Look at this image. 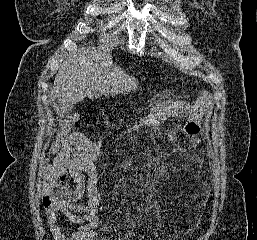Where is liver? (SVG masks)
Listing matches in <instances>:
<instances>
[{
	"label": "liver",
	"mask_w": 257,
	"mask_h": 240,
	"mask_svg": "<svg viewBox=\"0 0 257 240\" xmlns=\"http://www.w3.org/2000/svg\"><path fill=\"white\" fill-rule=\"evenodd\" d=\"M136 86L137 82L132 76L113 64L108 50L88 55L80 49L70 54L60 66L49 98L54 102L61 96L65 102L73 105L81 102L86 95L94 99L101 95L123 94L135 90Z\"/></svg>",
	"instance_id": "6515ba94"
}]
</instances>
